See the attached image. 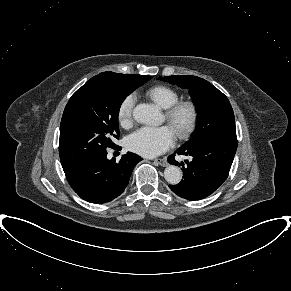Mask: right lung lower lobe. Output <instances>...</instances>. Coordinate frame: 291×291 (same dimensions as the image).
<instances>
[{
    "label": "right lung lower lobe",
    "instance_id": "obj_1",
    "mask_svg": "<svg viewBox=\"0 0 291 291\" xmlns=\"http://www.w3.org/2000/svg\"><path fill=\"white\" fill-rule=\"evenodd\" d=\"M141 157L127 152L119 162L107 159V151L76 163L65 172L72 189L92 203L109 202L120 196L129 183L134 166Z\"/></svg>",
    "mask_w": 291,
    "mask_h": 291
}]
</instances>
